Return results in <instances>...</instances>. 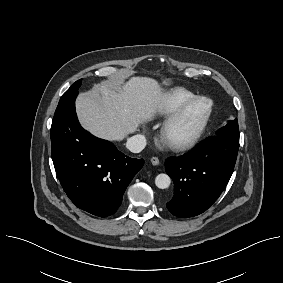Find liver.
<instances>
[{
    "instance_id": "obj_1",
    "label": "liver",
    "mask_w": 283,
    "mask_h": 283,
    "mask_svg": "<svg viewBox=\"0 0 283 283\" xmlns=\"http://www.w3.org/2000/svg\"><path fill=\"white\" fill-rule=\"evenodd\" d=\"M164 100L156 80L132 77L122 87L102 83L79 94L76 111L81 125L93 135L122 141L140 125L151 121L162 109Z\"/></svg>"
}]
</instances>
